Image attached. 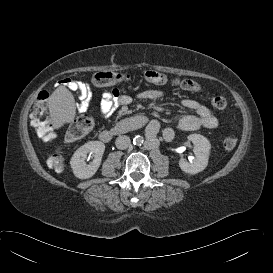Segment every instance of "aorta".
I'll return each instance as SVG.
<instances>
[{
	"instance_id": "aorta-1",
	"label": "aorta",
	"mask_w": 273,
	"mask_h": 273,
	"mask_svg": "<svg viewBox=\"0 0 273 273\" xmlns=\"http://www.w3.org/2000/svg\"><path fill=\"white\" fill-rule=\"evenodd\" d=\"M143 142H144L143 137H141L139 135L135 136L133 139V143L135 145H141V144H143Z\"/></svg>"
}]
</instances>
